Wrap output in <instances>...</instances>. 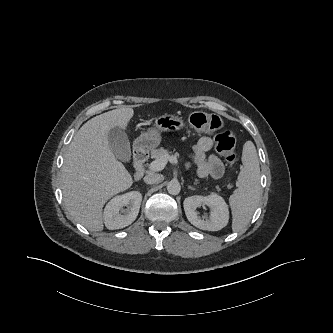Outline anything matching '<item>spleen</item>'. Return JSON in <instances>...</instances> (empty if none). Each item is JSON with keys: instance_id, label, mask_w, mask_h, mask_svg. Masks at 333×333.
<instances>
[{"instance_id": "spleen-1", "label": "spleen", "mask_w": 333, "mask_h": 333, "mask_svg": "<svg viewBox=\"0 0 333 333\" xmlns=\"http://www.w3.org/2000/svg\"><path fill=\"white\" fill-rule=\"evenodd\" d=\"M243 166L238 176V188L229 198L232 210V230L239 232L250 222L260 199V166L252 141H247L242 152Z\"/></svg>"}]
</instances>
